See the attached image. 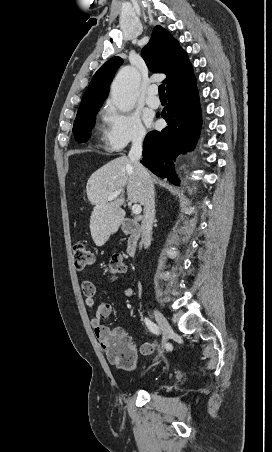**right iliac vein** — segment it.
<instances>
[{"label": "right iliac vein", "instance_id": "obj_1", "mask_svg": "<svg viewBox=\"0 0 272 452\" xmlns=\"http://www.w3.org/2000/svg\"><path fill=\"white\" fill-rule=\"evenodd\" d=\"M153 315H154L160 329L163 332V346H164L173 332L172 327L170 326L167 319L163 316V314L156 308H153Z\"/></svg>", "mask_w": 272, "mask_h": 452}]
</instances>
